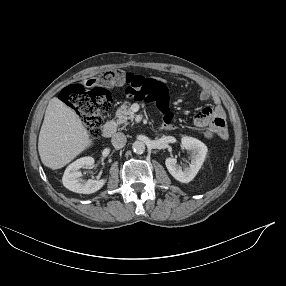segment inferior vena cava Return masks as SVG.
Listing matches in <instances>:
<instances>
[{"label":"inferior vena cava","instance_id":"inferior-vena-cava-1","mask_svg":"<svg viewBox=\"0 0 286 286\" xmlns=\"http://www.w3.org/2000/svg\"><path fill=\"white\" fill-rule=\"evenodd\" d=\"M126 141H127L126 136L121 132L114 134L111 139L112 145L118 149L123 148L126 144Z\"/></svg>","mask_w":286,"mask_h":286}]
</instances>
